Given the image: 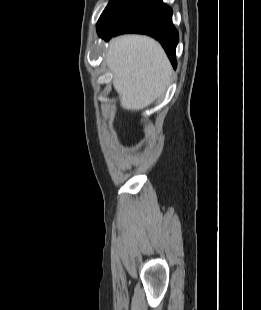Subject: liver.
<instances>
[{"label": "liver", "instance_id": "liver-1", "mask_svg": "<svg viewBox=\"0 0 261 310\" xmlns=\"http://www.w3.org/2000/svg\"><path fill=\"white\" fill-rule=\"evenodd\" d=\"M107 65L113 86L126 110L139 111L158 99L172 74L171 64L154 39L143 35H123L109 45Z\"/></svg>", "mask_w": 261, "mask_h": 310}]
</instances>
